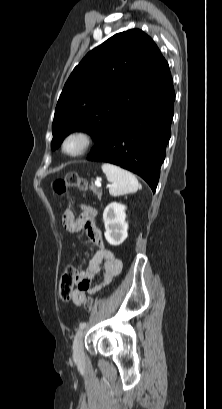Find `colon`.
Segmentation results:
<instances>
[{"mask_svg":"<svg viewBox=\"0 0 222 409\" xmlns=\"http://www.w3.org/2000/svg\"><path fill=\"white\" fill-rule=\"evenodd\" d=\"M88 187L87 181L82 179L75 173H69L64 178L57 179L53 183V190L54 192L60 197H67L69 190L71 188H77L79 190L85 191ZM79 269L76 265H69L67 266L65 272L60 281L59 286V295L62 300H69L72 296L73 289L75 284L73 283L74 278L72 277L73 270ZM93 306L92 298L88 297L84 307L86 311H90Z\"/></svg>","mask_w":222,"mask_h":409,"instance_id":"5ec220e1","label":"colon"}]
</instances>
